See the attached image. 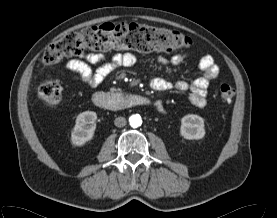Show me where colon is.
<instances>
[{
    "label": "colon",
    "instance_id": "1",
    "mask_svg": "<svg viewBox=\"0 0 277 218\" xmlns=\"http://www.w3.org/2000/svg\"><path fill=\"white\" fill-rule=\"evenodd\" d=\"M191 46L192 40L176 30L133 23H105L71 32L58 39L44 50L42 63L52 65L66 57L79 56L86 50L149 53L171 52ZM38 93L44 103L55 105L61 100L62 87L56 81H45L40 85ZM234 96L233 86L220 85L219 98L222 104H230Z\"/></svg>",
    "mask_w": 277,
    "mask_h": 218
}]
</instances>
